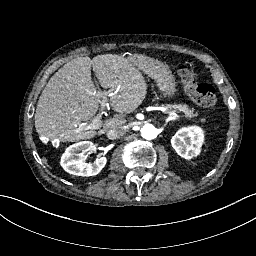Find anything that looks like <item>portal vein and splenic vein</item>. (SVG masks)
Masks as SVG:
<instances>
[{
	"label": "portal vein and splenic vein",
	"mask_w": 256,
	"mask_h": 256,
	"mask_svg": "<svg viewBox=\"0 0 256 256\" xmlns=\"http://www.w3.org/2000/svg\"><path fill=\"white\" fill-rule=\"evenodd\" d=\"M109 108V104H108V99L107 97H103V100L101 102V110L102 113L99 114L98 116H96L93 120L92 123L87 125V123H82L80 124L79 128H81L82 126H86L84 129L85 130H90V129H100L102 126V121H101V117L102 114L105 113L103 110L104 108ZM160 110L164 112L165 115H171V117H174L175 120H179L180 116L176 113L171 112L170 110H166V108L160 107Z\"/></svg>",
	"instance_id": "1"
}]
</instances>
